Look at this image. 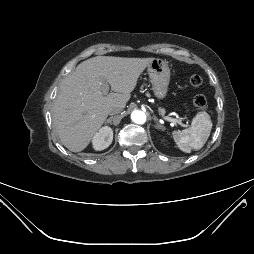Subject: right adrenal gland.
<instances>
[{
  "instance_id": "right-adrenal-gland-1",
  "label": "right adrenal gland",
  "mask_w": 254,
  "mask_h": 254,
  "mask_svg": "<svg viewBox=\"0 0 254 254\" xmlns=\"http://www.w3.org/2000/svg\"><path fill=\"white\" fill-rule=\"evenodd\" d=\"M112 118H113L112 116H111V117H109V118L106 120L105 124H108V123H110V124H111Z\"/></svg>"
}]
</instances>
